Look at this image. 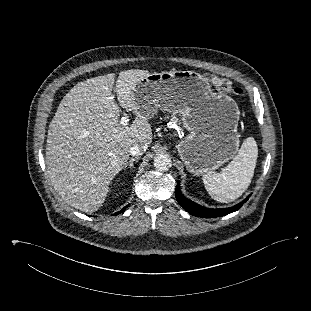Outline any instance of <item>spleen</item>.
Masks as SVG:
<instances>
[{
  "instance_id": "spleen-1",
  "label": "spleen",
  "mask_w": 311,
  "mask_h": 311,
  "mask_svg": "<svg viewBox=\"0 0 311 311\" xmlns=\"http://www.w3.org/2000/svg\"><path fill=\"white\" fill-rule=\"evenodd\" d=\"M258 147L253 137L244 140L238 154L219 173L203 175L208 194L216 201L227 203L239 198L249 187L254 175Z\"/></svg>"
}]
</instances>
